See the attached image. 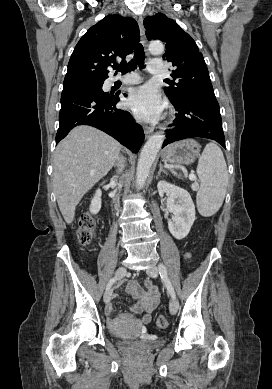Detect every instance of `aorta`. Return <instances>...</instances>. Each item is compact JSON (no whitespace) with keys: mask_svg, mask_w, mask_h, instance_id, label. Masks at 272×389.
<instances>
[{"mask_svg":"<svg viewBox=\"0 0 272 389\" xmlns=\"http://www.w3.org/2000/svg\"><path fill=\"white\" fill-rule=\"evenodd\" d=\"M149 51L154 55H160L164 51V46L161 42H151L149 44ZM164 135H152L143 146L137 165L136 184L138 188H142L149 176L150 168L159 152L163 142Z\"/></svg>","mask_w":272,"mask_h":389,"instance_id":"1","label":"aorta"}]
</instances>
